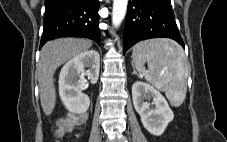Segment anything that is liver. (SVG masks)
Wrapping results in <instances>:
<instances>
[{
    "instance_id": "1",
    "label": "liver",
    "mask_w": 227,
    "mask_h": 142,
    "mask_svg": "<svg viewBox=\"0 0 227 142\" xmlns=\"http://www.w3.org/2000/svg\"><path fill=\"white\" fill-rule=\"evenodd\" d=\"M91 46L92 42L88 39L60 38L49 41L42 47L37 78L41 106L47 116L53 112L56 103L53 78L56 69L76 55L89 50Z\"/></svg>"
}]
</instances>
